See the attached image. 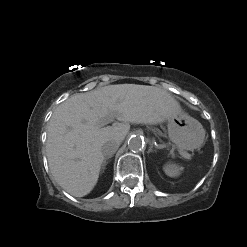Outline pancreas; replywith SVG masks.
I'll return each mask as SVG.
<instances>
[{
    "label": "pancreas",
    "mask_w": 247,
    "mask_h": 247,
    "mask_svg": "<svg viewBox=\"0 0 247 247\" xmlns=\"http://www.w3.org/2000/svg\"><path fill=\"white\" fill-rule=\"evenodd\" d=\"M183 155H184L185 157H187V158L190 157V155H189L188 153H186V152H184Z\"/></svg>",
    "instance_id": "cf45deb5"
}]
</instances>
